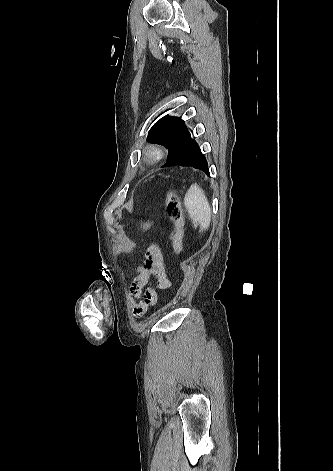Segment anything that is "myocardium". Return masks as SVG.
Wrapping results in <instances>:
<instances>
[{
	"mask_svg": "<svg viewBox=\"0 0 333 471\" xmlns=\"http://www.w3.org/2000/svg\"><path fill=\"white\" fill-rule=\"evenodd\" d=\"M149 157L152 158V159L157 158L158 157V152L156 150H150Z\"/></svg>",
	"mask_w": 333,
	"mask_h": 471,
	"instance_id": "myocardium-1",
	"label": "myocardium"
}]
</instances>
